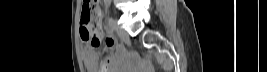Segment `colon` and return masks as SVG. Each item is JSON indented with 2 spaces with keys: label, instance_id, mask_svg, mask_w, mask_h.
<instances>
[{
  "label": "colon",
  "instance_id": "obj_1",
  "mask_svg": "<svg viewBox=\"0 0 267 72\" xmlns=\"http://www.w3.org/2000/svg\"><path fill=\"white\" fill-rule=\"evenodd\" d=\"M102 10L97 1L86 0L82 6L80 34L83 40L94 47H101L103 34L101 31Z\"/></svg>",
  "mask_w": 267,
  "mask_h": 72
}]
</instances>
